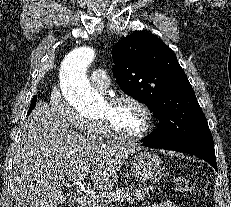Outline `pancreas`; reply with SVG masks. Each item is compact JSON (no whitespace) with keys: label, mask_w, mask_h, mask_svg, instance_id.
<instances>
[{"label":"pancreas","mask_w":231,"mask_h":207,"mask_svg":"<svg viewBox=\"0 0 231 207\" xmlns=\"http://www.w3.org/2000/svg\"><path fill=\"white\" fill-rule=\"evenodd\" d=\"M149 187H140L136 189L117 188L105 196H100L91 200L90 207H108L112 204L130 203L143 201L145 194L149 193Z\"/></svg>","instance_id":"1"}]
</instances>
